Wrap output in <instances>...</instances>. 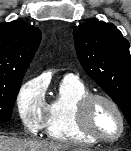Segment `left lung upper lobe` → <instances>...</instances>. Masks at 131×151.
I'll return each instance as SVG.
<instances>
[{
    "instance_id": "left-lung-upper-lobe-1",
    "label": "left lung upper lobe",
    "mask_w": 131,
    "mask_h": 151,
    "mask_svg": "<svg viewBox=\"0 0 131 151\" xmlns=\"http://www.w3.org/2000/svg\"><path fill=\"white\" fill-rule=\"evenodd\" d=\"M73 35L85 72L119 106L131 126V56L128 40L114 24L97 19L77 26Z\"/></svg>"
}]
</instances>
